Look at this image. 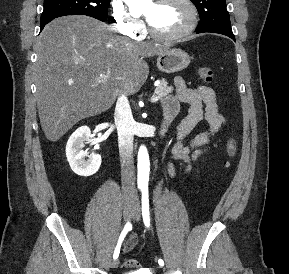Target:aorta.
Returning <instances> with one entry per match:
<instances>
[{"instance_id":"762f6f07","label":"aorta","mask_w":289,"mask_h":274,"mask_svg":"<svg viewBox=\"0 0 289 274\" xmlns=\"http://www.w3.org/2000/svg\"><path fill=\"white\" fill-rule=\"evenodd\" d=\"M129 7L140 6L142 1L146 0H125ZM149 155L145 146H141L138 151V184L147 185L149 180Z\"/></svg>"}]
</instances>
